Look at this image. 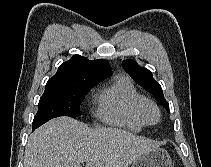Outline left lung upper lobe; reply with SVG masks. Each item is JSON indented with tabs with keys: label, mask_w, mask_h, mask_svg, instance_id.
<instances>
[{
	"label": "left lung upper lobe",
	"mask_w": 211,
	"mask_h": 167,
	"mask_svg": "<svg viewBox=\"0 0 211 167\" xmlns=\"http://www.w3.org/2000/svg\"><path fill=\"white\" fill-rule=\"evenodd\" d=\"M126 72L144 89L149 91L156 100L162 104L169 112V104L166 102L163 91L158 82L153 79L151 71L144 67H140L134 60L123 61Z\"/></svg>",
	"instance_id": "obj_1"
}]
</instances>
